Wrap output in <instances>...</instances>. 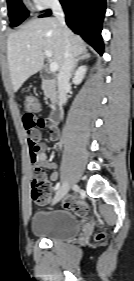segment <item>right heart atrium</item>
I'll use <instances>...</instances> for the list:
<instances>
[{
	"label": "right heart atrium",
	"instance_id": "obj_1",
	"mask_svg": "<svg viewBox=\"0 0 134 281\" xmlns=\"http://www.w3.org/2000/svg\"><path fill=\"white\" fill-rule=\"evenodd\" d=\"M30 2L34 8L44 10L55 4L57 0H30Z\"/></svg>",
	"mask_w": 134,
	"mask_h": 281
}]
</instances>
